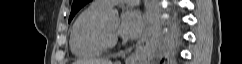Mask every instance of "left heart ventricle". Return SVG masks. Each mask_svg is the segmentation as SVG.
Returning a JSON list of instances; mask_svg holds the SVG:
<instances>
[{"label": "left heart ventricle", "mask_w": 242, "mask_h": 64, "mask_svg": "<svg viewBox=\"0 0 242 64\" xmlns=\"http://www.w3.org/2000/svg\"><path fill=\"white\" fill-rule=\"evenodd\" d=\"M105 25H106L107 30L110 33H114L115 29L117 27V22L106 18L105 19Z\"/></svg>", "instance_id": "1"}]
</instances>
